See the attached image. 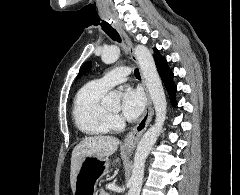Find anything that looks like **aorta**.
Listing matches in <instances>:
<instances>
[{
    "mask_svg": "<svg viewBox=\"0 0 240 195\" xmlns=\"http://www.w3.org/2000/svg\"><path fill=\"white\" fill-rule=\"evenodd\" d=\"M134 54L136 60H138L141 74L143 78H145L150 98L153 101L156 117L154 125H151V127L147 129L137 145L132 175L130 177L131 185L127 195H140L146 157L149 155L154 143H156L160 131H162L167 113V101L151 52H149L148 48L139 44V46H135ZM119 56L120 48H117V46H109V48L103 50L101 60L104 64H114V62H117ZM115 96V92H109L108 94V98H115Z\"/></svg>",
    "mask_w": 240,
    "mask_h": 195,
    "instance_id": "762f6f07",
    "label": "aorta"
}]
</instances>
